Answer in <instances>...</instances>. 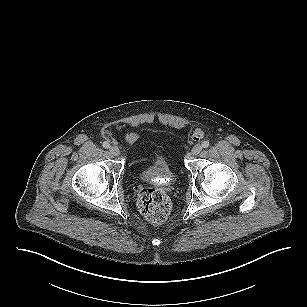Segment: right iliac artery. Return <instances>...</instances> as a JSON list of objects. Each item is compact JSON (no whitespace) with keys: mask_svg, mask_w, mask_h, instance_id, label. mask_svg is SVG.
I'll return each instance as SVG.
<instances>
[{"mask_svg":"<svg viewBox=\"0 0 307 307\" xmlns=\"http://www.w3.org/2000/svg\"><path fill=\"white\" fill-rule=\"evenodd\" d=\"M102 146H103L104 148H109V147H110V144H109V142L105 141V142H103Z\"/></svg>","mask_w":307,"mask_h":307,"instance_id":"obj_1","label":"right iliac artery"}]
</instances>
